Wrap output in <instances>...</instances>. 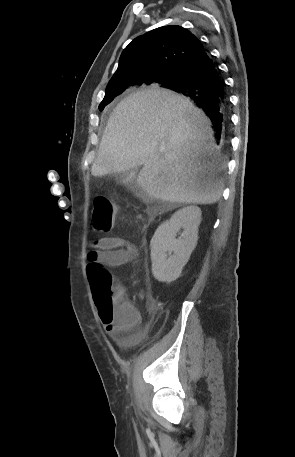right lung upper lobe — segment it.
I'll use <instances>...</instances> for the list:
<instances>
[{
  "mask_svg": "<svg viewBox=\"0 0 295 457\" xmlns=\"http://www.w3.org/2000/svg\"><path fill=\"white\" fill-rule=\"evenodd\" d=\"M204 51L198 38L183 27L156 28L135 38L123 50L107 88L124 83L132 84L128 88L140 84L163 86Z\"/></svg>",
  "mask_w": 295,
  "mask_h": 457,
  "instance_id": "cb5924a9",
  "label": "right lung upper lobe"
}]
</instances>
